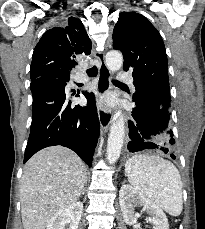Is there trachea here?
<instances>
[{
  "label": "trachea",
  "mask_w": 205,
  "mask_h": 229,
  "mask_svg": "<svg viewBox=\"0 0 205 229\" xmlns=\"http://www.w3.org/2000/svg\"><path fill=\"white\" fill-rule=\"evenodd\" d=\"M97 68L96 67H92L90 69L87 70V74L90 76V77H95L97 76ZM114 83L116 84H120V85H123L121 82L117 81V80H113Z\"/></svg>",
  "instance_id": "1"
}]
</instances>
